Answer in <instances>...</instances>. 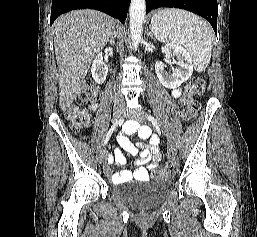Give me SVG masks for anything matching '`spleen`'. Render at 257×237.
I'll return each instance as SVG.
<instances>
[{"label": "spleen", "instance_id": "3e777b00", "mask_svg": "<svg viewBox=\"0 0 257 237\" xmlns=\"http://www.w3.org/2000/svg\"><path fill=\"white\" fill-rule=\"evenodd\" d=\"M151 29L160 42L183 45L196 71L207 68L213 38L206 21L187 11L163 9L152 17Z\"/></svg>", "mask_w": 257, "mask_h": 237}]
</instances>
